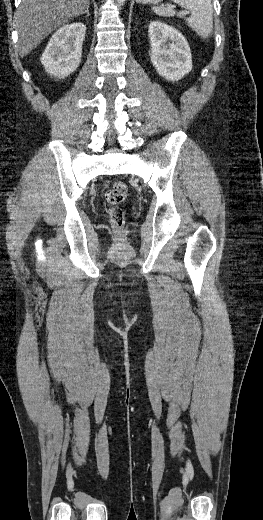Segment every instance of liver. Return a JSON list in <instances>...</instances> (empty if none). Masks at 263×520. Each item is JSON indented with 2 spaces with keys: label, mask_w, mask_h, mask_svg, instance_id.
Here are the masks:
<instances>
[{
  "label": "liver",
  "mask_w": 263,
  "mask_h": 520,
  "mask_svg": "<svg viewBox=\"0 0 263 520\" xmlns=\"http://www.w3.org/2000/svg\"><path fill=\"white\" fill-rule=\"evenodd\" d=\"M88 7L89 0H21L15 15L20 56L28 55L52 31Z\"/></svg>",
  "instance_id": "6515ba94"
}]
</instances>
